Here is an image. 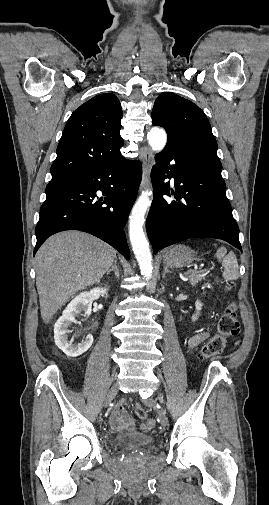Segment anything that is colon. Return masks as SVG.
I'll return each instance as SVG.
<instances>
[{"mask_svg": "<svg viewBox=\"0 0 269 505\" xmlns=\"http://www.w3.org/2000/svg\"><path fill=\"white\" fill-rule=\"evenodd\" d=\"M231 283L226 284V289L230 290ZM240 331V321L237 315L235 304H230L225 312L221 315L216 334L208 340L200 351V359L207 360L220 355L230 337L236 336ZM135 412L140 418L146 417V410L141 405L135 407Z\"/></svg>", "mask_w": 269, "mask_h": 505, "instance_id": "1", "label": "colon"}]
</instances>
